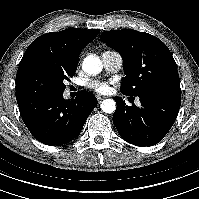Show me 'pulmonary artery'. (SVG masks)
<instances>
[{
    "label": "pulmonary artery",
    "instance_id": "1",
    "mask_svg": "<svg viewBox=\"0 0 199 199\" xmlns=\"http://www.w3.org/2000/svg\"><path fill=\"white\" fill-rule=\"evenodd\" d=\"M102 62L106 71L109 73L118 72L123 64L122 56L112 50H106L102 53Z\"/></svg>",
    "mask_w": 199,
    "mask_h": 199
}]
</instances>
